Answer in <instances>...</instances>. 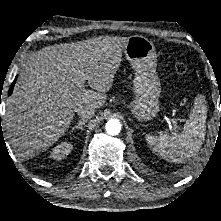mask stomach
Segmentation results:
<instances>
[{"label":"stomach","mask_w":221,"mask_h":221,"mask_svg":"<svg viewBox=\"0 0 221 221\" xmlns=\"http://www.w3.org/2000/svg\"><path fill=\"white\" fill-rule=\"evenodd\" d=\"M124 54L135 71V100L130 104L133 117L145 123L157 117L160 110L161 84L156 73L157 54L154 44L141 35L128 38Z\"/></svg>","instance_id":"0dacf381"}]
</instances>
